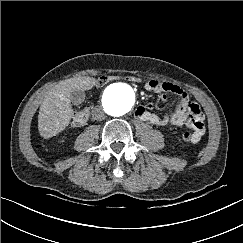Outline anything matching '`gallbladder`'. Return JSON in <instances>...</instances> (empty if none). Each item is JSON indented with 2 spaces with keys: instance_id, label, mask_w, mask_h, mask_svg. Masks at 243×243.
I'll use <instances>...</instances> for the list:
<instances>
[{
  "instance_id": "obj_1",
  "label": "gallbladder",
  "mask_w": 243,
  "mask_h": 243,
  "mask_svg": "<svg viewBox=\"0 0 243 243\" xmlns=\"http://www.w3.org/2000/svg\"><path fill=\"white\" fill-rule=\"evenodd\" d=\"M85 95L82 91H73L71 93V102L75 105L84 101Z\"/></svg>"
}]
</instances>
